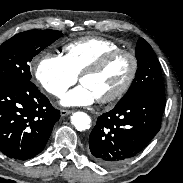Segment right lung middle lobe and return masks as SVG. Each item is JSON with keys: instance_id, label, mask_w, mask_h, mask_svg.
Returning a JSON list of instances; mask_svg holds the SVG:
<instances>
[{"instance_id": "1", "label": "right lung middle lobe", "mask_w": 183, "mask_h": 183, "mask_svg": "<svg viewBox=\"0 0 183 183\" xmlns=\"http://www.w3.org/2000/svg\"><path fill=\"white\" fill-rule=\"evenodd\" d=\"M61 36L57 30H30L4 42L0 46V82L31 80L32 58Z\"/></svg>"}]
</instances>
